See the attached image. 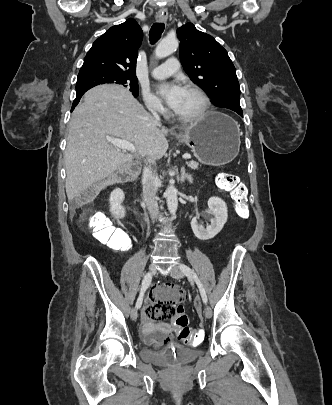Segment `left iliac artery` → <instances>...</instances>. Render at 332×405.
I'll list each match as a JSON object with an SVG mask.
<instances>
[{"label":"left iliac artery","instance_id":"left-iliac-artery-1","mask_svg":"<svg viewBox=\"0 0 332 405\" xmlns=\"http://www.w3.org/2000/svg\"><path fill=\"white\" fill-rule=\"evenodd\" d=\"M180 269L183 271V273L187 276V278L190 281L196 282V284L199 288L202 300L206 304L208 301L206 291H205L201 281L199 280L198 276L196 275V273L193 271V269H191L189 266H187L185 264H180Z\"/></svg>","mask_w":332,"mask_h":405}]
</instances>
